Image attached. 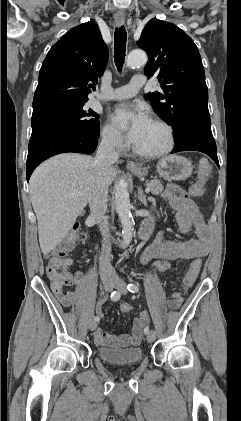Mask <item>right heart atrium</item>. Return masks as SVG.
<instances>
[{
  "mask_svg": "<svg viewBox=\"0 0 241 421\" xmlns=\"http://www.w3.org/2000/svg\"><path fill=\"white\" fill-rule=\"evenodd\" d=\"M103 144L111 150L123 151L125 142L121 134L110 124H105L101 130Z\"/></svg>",
  "mask_w": 241,
  "mask_h": 421,
  "instance_id": "1",
  "label": "right heart atrium"
}]
</instances>
